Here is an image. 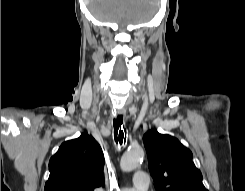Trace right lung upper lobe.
I'll return each mask as SVG.
<instances>
[{"mask_svg": "<svg viewBox=\"0 0 245 191\" xmlns=\"http://www.w3.org/2000/svg\"><path fill=\"white\" fill-rule=\"evenodd\" d=\"M104 155L87 133L64 142L49 161L45 191H94L104 186Z\"/></svg>", "mask_w": 245, "mask_h": 191, "instance_id": "1", "label": "right lung upper lobe"}]
</instances>
